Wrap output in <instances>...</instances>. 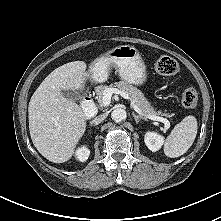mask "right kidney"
Here are the masks:
<instances>
[{
    "label": "right kidney",
    "mask_w": 221,
    "mask_h": 221,
    "mask_svg": "<svg viewBox=\"0 0 221 221\" xmlns=\"http://www.w3.org/2000/svg\"><path fill=\"white\" fill-rule=\"evenodd\" d=\"M90 155V150L87 148V146H82L76 150L75 156L77 160L80 162H84L88 159Z\"/></svg>",
    "instance_id": "ca27d5eb"
}]
</instances>
